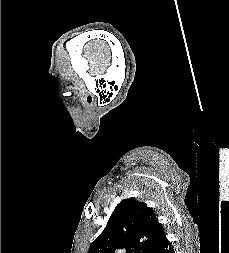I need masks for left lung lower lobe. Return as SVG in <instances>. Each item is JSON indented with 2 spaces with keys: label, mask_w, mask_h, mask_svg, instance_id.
<instances>
[{
  "label": "left lung lower lobe",
  "mask_w": 229,
  "mask_h": 253,
  "mask_svg": "<svg viewBox=\"0 0 229 253\" xmlns=\"http://www.w3.org/2000/svg\"><path fill=\"white\" fill-rule=\"evenodd\" d=\"M154 253H174V249H173L171 243L165 237L160 242V244L158 245V247L156 248V250L154 251Z\"/></svg>",
  "instance_id": "0a47b994"
}]
</instances>
